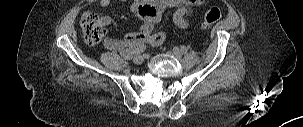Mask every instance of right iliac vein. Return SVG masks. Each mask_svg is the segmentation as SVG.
Wrapping results in <instances>:
<instances>
[{
    "label": "right iliac vein",
    "instance_id": "obj_1",
    "mask_svg": "<svg viewBox=\"0 0 303 127\" xmlns=\"http://www.w3.org/2000/svg\"><path fill=\"white\" fill-rule=\"evenodd\" d=\"M144 61L143 59V56L142 55H136L134 58H133V62L135 64H142Z\"/></svg>",
    "mask_w": 303,
    "mask_h": 127
}]
</instances>
